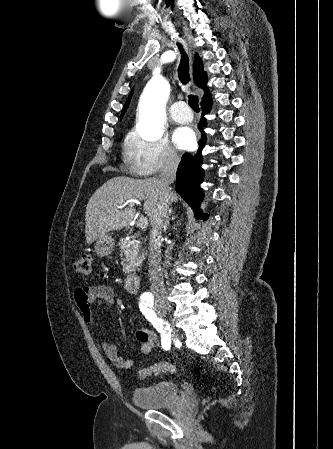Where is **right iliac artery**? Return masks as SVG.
I'll return each instance as SVG.
<instances>
[{"label":"right iliac artery","instance_id":"82829eb1","mask_svg":"<svg viewBox=\"0 0 333 449\" xmlns=\"http://www.w3.org/2000/svg\"><path fill=\"white\" fill-rule=\"evenodd\" d=\"M140 310L145 315L146 319L151 322V324L162 333V347L164 350L170 349V333L168 334L163 330V324H165L161 319H159L155 312L151 309L154 304V298L149 293H144L141 297ZM150 307V308H149ZM165 329H169L166 327Z\"/></svg>","mask_w":333,"mask_h":449}]
</instances>
